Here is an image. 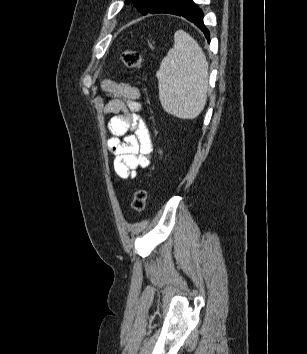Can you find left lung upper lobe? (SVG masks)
Instances as JSON below:
<instances>
[{
    "instance_id": "5c2ea615",
    "label": "left lung upper lobe",
    "mask_w": 307,
    "mask_h": 354,
    "mask_svg": "<svg viewBox=\"0 0 307 354\" xmlns=\"http://www.w3.org/2000/svg\"><path fill=\"white\" fill-rule=\"evenodd\" d=\"M169 0H125L126 3H132L138 11L145 15L155 13L163 8Z\"/></svg>"
}]
</instances>
